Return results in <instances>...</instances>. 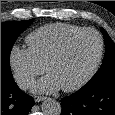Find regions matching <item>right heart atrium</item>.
I'll list each match as a JSON object with an SVG mask.
<instances>
[{
	"label": "right heart atrium",
	"mask_w": 115,
	"mask_h": 115,
	"mask_svg": "<svg viewBox=\"0 0 115 115\" xmlns=\"http://www.w3.org/2000/svg\"><path fill=\"white\" fill-rule=\"evenodd\" d=\"M9 65L22 89L29 88L35 78L44 71V66L37 62L29 49L18 45L12 46L9 51Z\"/></svg>",
	"instance_id": "1"
}]
</instances>
